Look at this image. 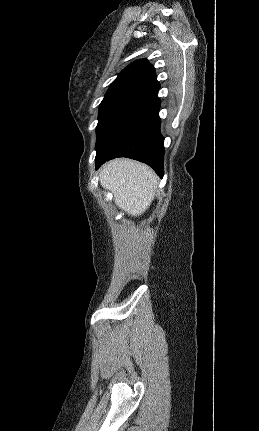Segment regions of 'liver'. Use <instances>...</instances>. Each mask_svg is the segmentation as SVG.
Returning <instances> with one entry per match:
<instances>
[{"instance_id":"obj_1","label":"liver","mask_w":259,"mask_h":431,"mask_svg":"<svg viewBox=\"0 0 259 431\" xmlns=\"http://www.w3.org/2000/svg\"><path fill=\"white\" fill-rule=\"evenodd\" d=\"M100 184L114 195L115 204L129 215L139 216L150 206L157 188V175L145 164L115 159L100 170Z\"/></svg>"}]
</instances>
